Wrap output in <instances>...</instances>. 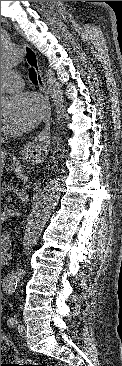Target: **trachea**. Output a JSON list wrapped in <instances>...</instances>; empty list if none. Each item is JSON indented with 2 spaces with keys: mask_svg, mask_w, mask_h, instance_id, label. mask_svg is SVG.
<instances>
[{
  "mask_svg": "<svg viewBox=\"0 0 122 366\" xmlns=\"http://www.w3.org/2000/svg\"><path fill=\"white\" fill-rule=\"evenodd\" d=\"M29 78L32 81V83L38 84L37 74H36V71L34 70V68H31L29 70Z\"/></svg>",
  "mask_w": 122,
  "mask_h": 366,
  "instance_id": "obj_1",
  "label": "trachea"
}]
</instances>
